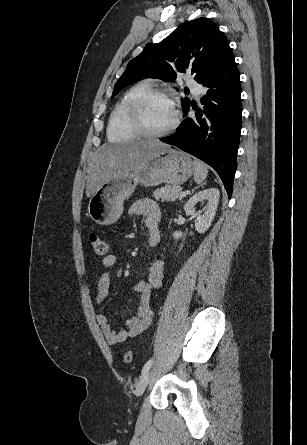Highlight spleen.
Wrapping results in <instances>:
<instances>
[{
  "label": "spleen",
  "mask_w": 307,
  "mask_h": 445,
  "mask_svg": "<svg viewBox=\"0 0 307 445\" xmlns=\"http://www.w3.org/2000/svg\"><path fill=\"white\" fill-rule=\"evenodd\" d=\"M193 174L195 182H203L208 174V166L204 164V162H200V160H194L193 162Z\"/></svg>",
  "instance_id": "spleen-1"
}]
</instances>
